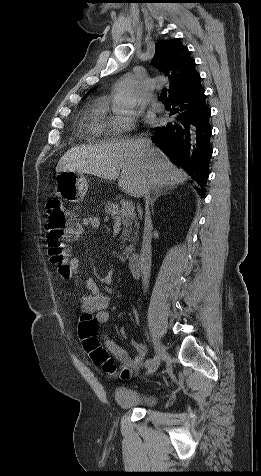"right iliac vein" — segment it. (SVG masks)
<instances>
[{
  "label": "right iliac vein",
  "mask_w": 261,
  "mask_h": 476,
  "mask_svg": "<svg viewBox=\"0 0 261 476\" xmlns=\"http://www.w3.org/2000/svg\"><path fill=\"white\" fill-rule=\"evenodd\" d=\"M164 354H165V349L161 345V343L158 342L156 344V355L153 357V359L151 360L150 365L148 366L147 374H153L158 369V367L160 365L161 357Z\"/></svg>",
  "instance_id": "1"
}]
</instances>
